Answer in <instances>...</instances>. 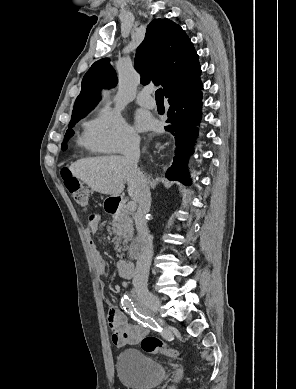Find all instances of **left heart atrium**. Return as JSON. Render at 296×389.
I'll use <instances>...</instances> for the list:
<instances>
[{
	"instance_id": "1",
	"label": "left heart atrium",
	"mask_w": 296,
	"mask_h": 389,
	"mask_svg": "<svg viewBox=\"0 0 296 389\" xmlns=\"http://www.w3.org/2000/svg\"><path fill=\"white\" fill-rule=\"evenodd\" d=\"M136 126L140 130L148 129L151 126V118L144 111H138L135 115Z\"/></svg>"
}]
</instances>
